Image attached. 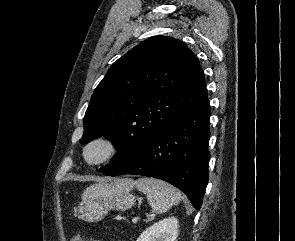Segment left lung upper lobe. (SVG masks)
<instances>
[{
	"mask_svg": "<svg viewBox=\"0 0 295 241\" xmlns=\"http://www.w3.org/2000/svg\"><path fill=\"white\" fill-rule=\"evenodd\" d=\"M207 97L198 59L180 40L154 36L115 61L96 87L84 117L81 144L102 135L117 153L107 175L157 132Z\"/></svg>",
	"mask_w": 295,
	"mask_h": 241,
	"instance_id": "5c2ea615",
	"label": "left lung upper lobe"
}]
</instances>
